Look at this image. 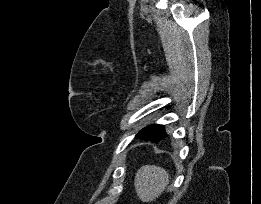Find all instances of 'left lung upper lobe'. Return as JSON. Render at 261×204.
<instances>
[{
	"instance_id": "1",
	"label": "left lung upper lobe",
	"mask_w": 261,
	"mask_h": 204,
	"mask_svg": "<svg viewBox=\"0 0 261 204\" xmlns=\"http://www.w3.org/2000/svg\"><path fill=\"white\" fill-rule=\"evenodd\" d=\"M162 131H163V126L154 124L140 131L136 137L148 141L158 136Z\"/></svg>"
}]
</instances>
